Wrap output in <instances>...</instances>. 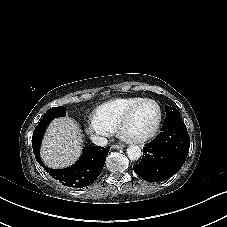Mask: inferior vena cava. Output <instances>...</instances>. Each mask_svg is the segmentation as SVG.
<instances>
[{
    "label": "inferior vena cava",
    "mask_w": 227,
    "mask_h": 227,
    "mask_svg": "<svg viewBox=\"0 0 227 227\" xmlns=\"http://www.w3.org/2000/svg\"><path fill=\"white\" fill-rule=\"evenodd\" d=\"M91 139L94 144L102 147L106 146L108 143V140L105 137L99 135H92Z\"/></svg>",
    "instance_id": "602c4592"
}]
</instances>
